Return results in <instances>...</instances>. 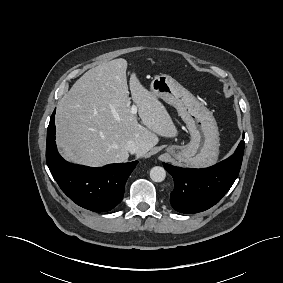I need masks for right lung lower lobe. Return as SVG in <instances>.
<instances>
[{
    "label": "right lung lower lobe",
    "instance_id": "right-lung-lower-lobe-1",
    "mask_svg": "<svg viewBox=\"0 0 283 283\" xmlns=\"http://www.w3.org/2000/svg\"><path fill=\"white\" fill-rule=\"evenodd\" d=\"M53 112L47 130L46 161L62 191L77 205L95 212L113 209L121 202L125 183L138 161L92 168L70 164L58 153L55 144Z\"/></svg>",
    "mask_w": 283,
    "mask_h": 283
}]
</instances>
